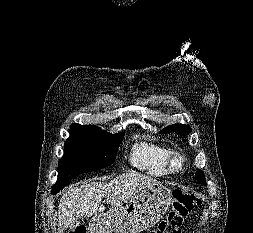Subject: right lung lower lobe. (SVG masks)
Returning a JSON list of instances; mask_svg holds the SVG:
<instances>
[{
	"instance_id": "right-lung-lower-lobe-1",
	"label": "right lung lower lobe",
	"mask_w": 253,
	"mask_h": 233,
	"mask_svg": "<svg viewBox=\"0 0 253 233\" xmlns=\"http://www.w3.org/2000/svg\"><path fill=\"white\" fill-rule=\"evenodd\" d=\"M75 175H71L69 176L68 178L62 180V181H59V182H56V184L53 186L52 188V191L51 193L52 194H57L63 187H65L75 176Z\"/></svg>"
}]
</instances>
